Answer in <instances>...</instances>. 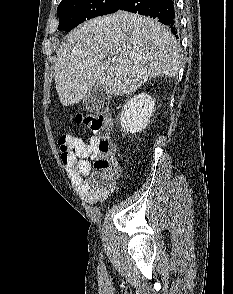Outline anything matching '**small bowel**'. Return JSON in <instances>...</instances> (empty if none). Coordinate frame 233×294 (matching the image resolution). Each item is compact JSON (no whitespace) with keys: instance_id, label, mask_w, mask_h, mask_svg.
<instances>
[{"instance_id":"c3829d8e","label":"small bowel","mask_w":233,"mask_h":294,"mask_svg":"<svg viewBox=\"0 0 233 294\" xmlns=\"http://www.w3.org/2000/svg\"><path fill=\"white\" fill-rule=\"evenodd\" d=\"M68 147V155L62 159L63 164L75 179L87 177L81 182V187L85 199L90 203H97L108 198L113 190L112 182L107 186H97L91 181V166L89 160L92 159L94 140L84 143L80 138L64 135L60 137Z\"/></svg>"}]
</instances>
